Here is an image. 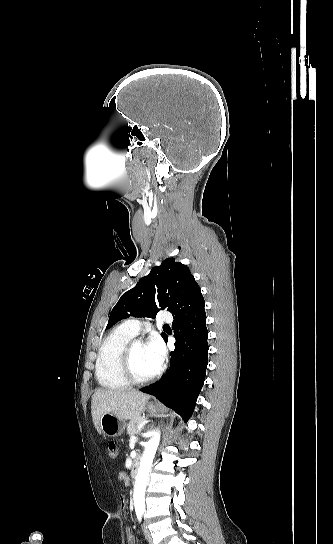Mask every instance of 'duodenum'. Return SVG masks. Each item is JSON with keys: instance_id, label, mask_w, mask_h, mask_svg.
Listing matches in <instances>:
<instances>
[{"instance_id": "duodenum-1", "label": "duodenum", "mask_w": 333, "mask_h": 544, "mask_svg": "<svg viewBox=\"0 0 333 544\" xmlns=\"http://www.w3.org/2000/svg\"><path fill=\"white\" fill-rule=\"evenodd\" d=\"M140 469V459L135 458L130 467V475L136 477Z\"/></svg>"}]
</instances>
